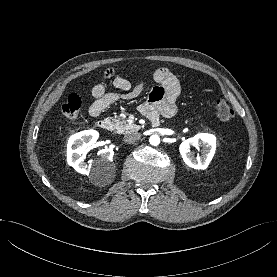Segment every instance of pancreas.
Instances as JSON below:
<instances>
[{
	"label": "pancreas",
	"instance_id": "1",
	"mask_svg": "<svg viewBox=\"0 0 277 277\" xmlns=\"http://www.w3.org/2000/svg\"><path fill=\"white\" fill-rule=\"evenodd\" d=\"M113 129L116 130L118 134H126L131 131L137 130L135 125L128 124L125 118L117 117L112 119Z\"/></svg>",
	"mask_w": 277,
	"mask_h": 277
}]
</instances>
